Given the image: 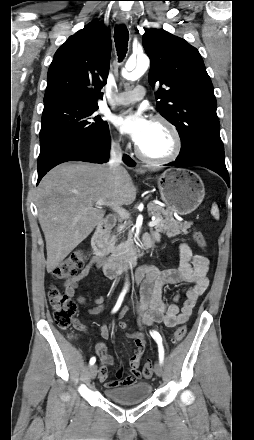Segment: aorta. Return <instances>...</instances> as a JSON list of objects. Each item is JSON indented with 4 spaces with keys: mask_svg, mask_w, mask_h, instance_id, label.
Here are the masks:
<instances>
[{
    "mask_svg": "<svg viewBox=\"0 0 254 440\" xmlns=\"http://www.w3.org/2000/svg\"><path fill=\"white\" fill-rule=\"evenodd\" d=\"M149 64V58L146 55H140L135 61L128 60L125 65V69L126 71L130 72L131 79L136 80L147 71Z\"/></svg>",
    "mask_w": 254,
    "mask_h": 440,
    "instance_id": "obj_1",
    "label": "aorta"
}]
</instances>
